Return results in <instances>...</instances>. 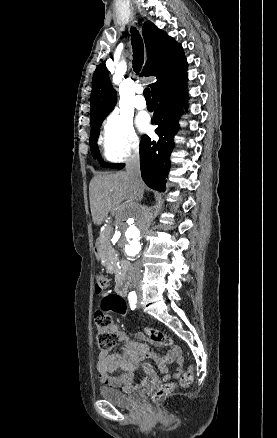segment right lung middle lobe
<instances>
[{"instance_id":"1","label":"right lung middle lobe","mask_w":277,"mask_h":438,"mask_svg":"<svg viewBox=\"0 0 277 438\" xmlns=\"http://www.w3.org/2000/svg\"><path fill=\"white\" fill-rule=\"evenodd\" d=\"M101 123H102V121L90 123V126H91V134H90L91 152H92L93 157L100 162L101 166L116 168L118 166L117 164H107V163L103 162V160L100 158L99 150H98V146H97V138L99 136V128L101 126Z\"/></svg>"}]
</instances>
